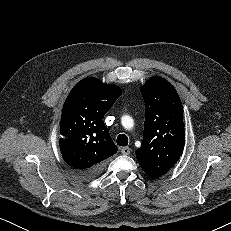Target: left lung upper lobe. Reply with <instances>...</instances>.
I'll return each instance as SVG.
<instances>
[{
    "label": "left lung upper lobe",
    "mask_w": 231,
    "mask_h": 231,
    "mask_svg": "<svg viewBox=\"0 0 231 231\" xmlns=\"http://www.w3.org/2000/svg\"><path fill=\"white\" fill-rule=\"evenodd\" d=\"M141 94L145 102L144 134L135 154L147 175L161 177L184 149L183 107L172 84L158 76L141 87Z\"/></svg>",
    "instance_id": "5c2ea615"
}]
</instances>
